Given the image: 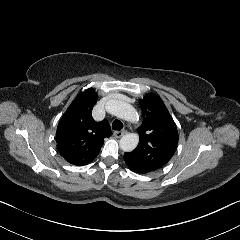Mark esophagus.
<instances>
[{
    "label": "esophagus",
    "instance_id": "34e87169",
    "mask_svg": "<svg viewBox=\"0 0 240 240\" xmlns=\"http://www.w3.org/2000/svg\"><path fill=\"white\" fill-rule=\"evenodd\" d=\"M126 133H127L126 130H121V131H115V132L113 133V135H114L115 137H117V138H120V137L124 136Z\"/></svg>",
    "mask_w": 240,
    "mask_h": 240
}]
</instances>
